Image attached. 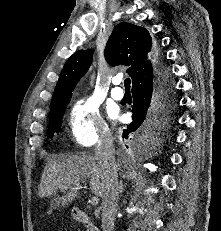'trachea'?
<instances>
[{"instance_id": "1", "label": "trachea", "mask_w": 221, "mask_h": 231, "mask_svg": "<svg viewBox=\"0 0 221 231\" xmlns=\"http://www.w3.org/2000/svg\"><path fill=\"white\" fill-rule=\"evenodd\" d=\"M130 83H131L130 78L125 79V81H124L125 90H127V91L130 90Z\"/></svg>"}]
</instances>
